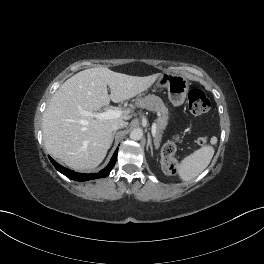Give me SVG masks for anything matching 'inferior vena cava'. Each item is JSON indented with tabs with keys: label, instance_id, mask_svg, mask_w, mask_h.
<instances>
[{
	"label": "inferior vena cava",
	"instance_id": "602c4592",
	"mask_svg": "<svg viewBox=\"0 0 264 264\" xmlns=\"http://www.w3.org/2000/svg\"><path fill=\"white\" fill-rule=\"evenodd\" d=\"M127 125H128V123H127V122H124V121H122V122H118V123H115V124L112 126V131H116V130H118V129L124 128V127H126Z\"/></svg>",
	"mask_w": 264,
	"mask_h": 264
}]
</instances>
